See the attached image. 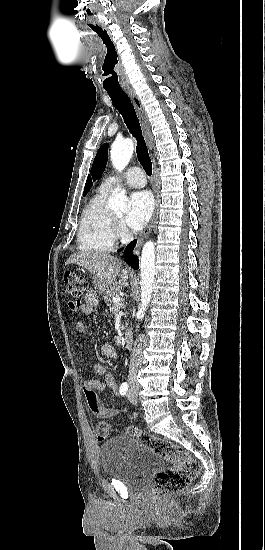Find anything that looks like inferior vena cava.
Masks as SVG:
<instances>
[{
  "label": "inferior vena cava",
  "mask_w": 265,
  "mask_h": 550,
  "mask_svg": "<svg viewBox=\"0 0 265 550\" xmlns=\"http://www.w3.org/2000/svg\"><path fill=\"white\" fill-rule=\"evenodd\" d=\"M142 361H143L142 360V340L140 337L139 340L135 342L134 348L131 354L129 374H128V382L130 384L137 383V375L142 365Z\"/></svg>",
  "instance_id": "602c4592"
}]
</instances>
